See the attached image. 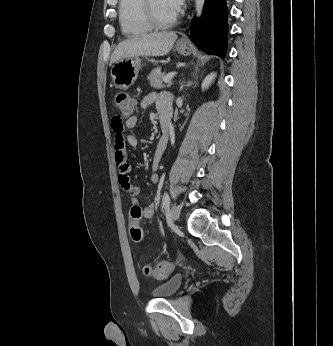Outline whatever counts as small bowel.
<instances>
[{"mask_svg": "<svg viewBox=\"0 0 333 346\" xmlns=\"http://www.w3.org/2000/svg\"><path fill=\"white\" fill-rule=\"evenodd\" d=\"M152 103H156L159 117L165 116L170 120L171 117V98L167 93L155 94L150 93L145 95L140 101V108L145 109ZM138 123V117L132 115L126 119V121L121 120L118 116H115L112 120V128L115 133V161L119 169L118 178L122 189L131 197L132 207L138 206L141 209V216L143 218H152L155 215L156 206L151 203L146 207H141L138 195L140 193V187L134 184L129 179L130 164L127 161V151L125 145L136 146L138 144V139L129 134L128 132L136 127ZM167 146V138H161L155 148L153 168L157 169L158 163L164 154ZM152 181L154 183L158 182L157 174L152 176Z\"/></svg>", "mask_w": 333, "mask_h": 346, "instance_id": "obj_1", "label": "small bowel"}]
</instances>
